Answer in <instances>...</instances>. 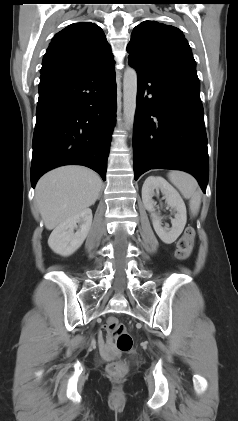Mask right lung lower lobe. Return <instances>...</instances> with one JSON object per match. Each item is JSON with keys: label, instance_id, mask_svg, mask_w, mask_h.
I'll use <instances>...</instances> for the list:
<instances>
[{"label": "right lung lower lobe", "instance_id": "right-lung-lower-lobe-1", "mask_svg": "<svg viewBox=\"0 0 238 421\" xmlns=\"http://www.w3.org/2000/svg\"><path fill=\"white\" fill-rule=\"evenodd\" d=\"M114 66L41 73L31 184L62 165L87 166L106 179L116 121Z\"/></svg>", "mask_w": 238, "mask_h": 421}]
</instances>
